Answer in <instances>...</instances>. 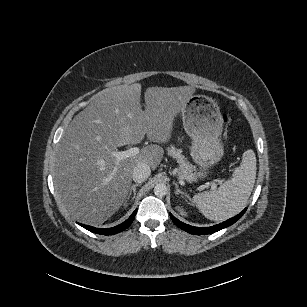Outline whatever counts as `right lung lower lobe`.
<instances>
[{
	"instance_id": "right-lung-lower-lobe-1",
	"label": "right lung lower lobe",
	"mask_w": 307,
	"mask_h": 307,
	"mask_svg": "<svg viewBox=\"0 0 307 307\" xmlns=\"http://www.w3.org/2000/svg\"><path fill=\"white\" fill-rule=\"evenodd\" d=\"M136 213H137V210H135L132 213V215L125 222H123L122 224H120L118 226L112 227V228L100 229V228H95V227L82 225V224H79V225H81L85 229H87L91 232L97 233V234L113 235V234L119 233V232L123 231L124 229H126L127 227H129L131 225V223L133 222Z\"/></svg>"
}]
</instances>
